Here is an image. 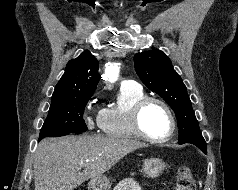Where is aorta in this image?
I'll return each instance as SVG.
<instances>
[{
    "instance_id": "762f6f07",
    "label": "aorta",
    "mask_w": 238,
    "mask_h": 190,
    "mask_svg": "<svg viewBox=\"0 0 238 190\" xmlns=\"http://www.w3.org/2000/svg\"><path fill=\"white\" fill-rule=\"evenodd\" d=\"M106 75L109 77L110 82H115L118 78L119 68L118 64H110L106 67Z\"/></svg>"
}]
</instances>
